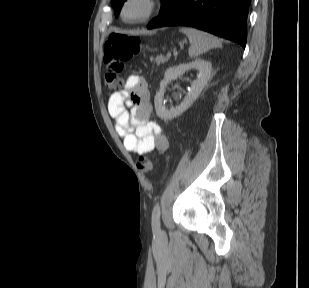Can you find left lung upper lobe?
<instances>
[{"label":"left lung upper lobe","mask_w":309,"mask_h":288,"mask_svg":"<svg viewBox=\"0 0 309 288\" xmlns=\"http://www.w3.org/2000/svg\"><path fill=\"white\" fill-rule=\"evenodd\" d=\"M126 0H111V5L115 10V15L118 16V13L120 12V9L122 7V4ZM162 6H161V12L164 11L174 0H161Z\"/></svg>","instance_id":"obj_1"}]
</instances>
